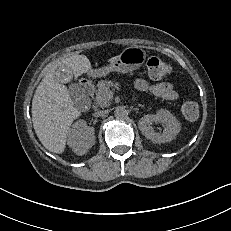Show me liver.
I'll use <instances>...</instances> for the list:
<instances>
[{"mask_svg": "<svg viewBox=\"0 0 231 231\" xmlns=\"http://www.w3.org/2000/svg\"><path fill=\"white\" fill-rule=\"evenodd\" d=\"M58 68L67 69L78 78L92 67L85 55H72L49 70L35 91L31 111L35 133L47 150L60 154L65 150L71 124L81 113L74 107L67 87L56 79Z\"/></svg>", "mask_w": 231, "mask_h": 231, "instance_id": "1", "label": "liver"}]
</instances>
